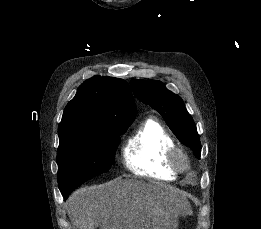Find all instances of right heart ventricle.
<instances>
[{
	"label": "right heart ventricle",
	"instance_id": "obj_1",
	"mask_svg": "<svg viewBox=\"0 0 261 229\" xmlns=\"http://www.w3.org/2000/svg\"><path fill=\"white\" fill-rule=\"evenodd\" d=\"M174 145L166 128L150 116L123 147L124 164L136 174L166 173L174 176L177 172L168 164L169 150Z\"/></svg>",
	"mask_w": 261,
	"mask_h": 229
}]
</instances>
